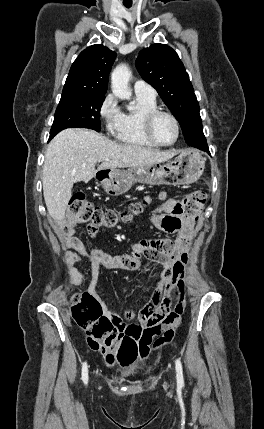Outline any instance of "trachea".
I'll return each mask as SVG.
<instances>
[{
    "label": "trachea",
    "mask_w": 264,
    "mask_h": 429,
    "mask_svg": "<svg viewBox=\"0 0 264 429\" xmlns=\"http://www.w3.org/2000/svg\"><path fill=\"white\" fill-rule=\"evenodd\" d=\"M124 6L127 7V8H130L132 6V4H126V3H124Z\"/></svg>",
    "instance_id": "obj_1"
}]
</instances>
